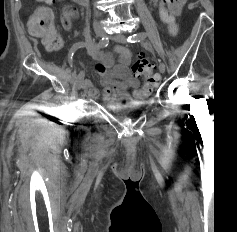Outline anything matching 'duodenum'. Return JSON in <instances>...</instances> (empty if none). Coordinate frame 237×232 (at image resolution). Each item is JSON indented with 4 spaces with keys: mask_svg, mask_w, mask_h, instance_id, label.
<instances>
[{
    "mask_svg": "<svg viewBox=\"0 0 237 232\" xmlns=\"http://www.w3.org/2000/svg\"><path fill=\"white\" fill-rule=\"evenodd\" d=\"M74 1L80 5H85L88 0H74Z\"/></svg>",
    "mask_w": 237,
    "mask_h": 232,
    "instance_id": "1",
    "label": "duodenum"
}]
</instances>
